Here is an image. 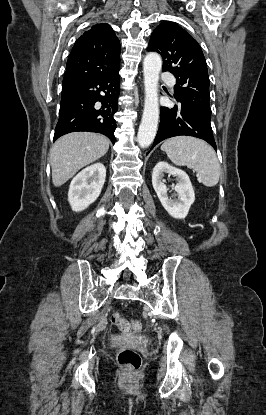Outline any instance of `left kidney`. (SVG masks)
Returning a JSON list of instances; mask_svg holds the SVG:
<instances>
[{
  "instance_id": "left-kidney-1",
  "label": "left kidney",
  "mask_w": 266,
  "mask_h": 415,
  "mask_svg": "<svg viewBox=\"0 0 266 415\" xmlns=\"http://www.w3.org/2000/svg\"><path fill=\"white\" fill-rule=\"evenodd\" d=\"M165 174L176 177L177 184L174 190L178 199L172 200L168 197L167 187L163 183ZM152 185L164 209L176 219H184L195 200V193L189 176L181 169L170 166L161 161L156 164L152 172Z\"/></svg>"
}]
</instances>
